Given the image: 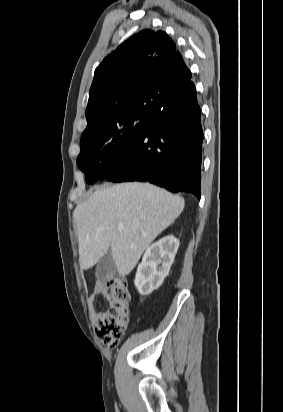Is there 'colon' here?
<instances>
[{
	"label": "colon",
	"mask_w": 283,
	"mask_h": 412,
	"mask_svg": "<svg viewBox=\"0 0 283 412\" xmlns=\"http://www.w3.org/2000/svg\"><path fill=\"white\" fill-rule=\"evenodd\" d=\"M109 308L94 322V332L98 340L110 347L121 341L129 320V295L125 281L115 277L106 284Z\"/></svg>",
	"instance_id": "1"
}]
</instances>
